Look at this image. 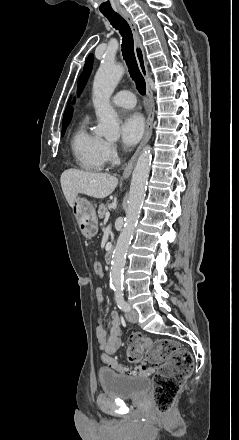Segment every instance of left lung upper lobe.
<instances>
[{"label":"left lung upper lobe","instance_id":"obj_1","mask_svg":"<svg viewBox=\"0 0 239 440\" xmlns=\"http://www.w3.org/2000/svg\"><path fill=\"white\" fill-rule=\"evenodd\" d=\"M92 65H93V55L90 54L88 56V58L86 59L85 65H84V70L81 74V76L78 79V87H77V94L79 95L91 73L92 70Z\"/></svg>","mask_w":239,"mask_h":440}]
</instances>
